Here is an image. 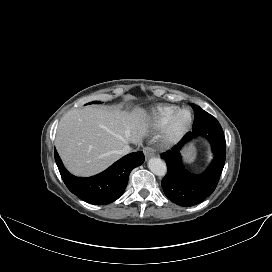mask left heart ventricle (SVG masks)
<instances>
[{
	"label": "left heart ventricle",
	"mask_w": 272,
	"mask_h": 272,
	"mask_svg": "<svg viewBox=\"0 0 272 272\" xmlns=\"http://www.w3.org/2000/svg\"><path fill=\"white\" fill-rule=\"evenodd\" d=\"M186 117V114H182L180 117H179V122H182Z\"/></svg>",
	"instance_id": "obj_1"
}]
</instances>
